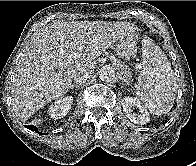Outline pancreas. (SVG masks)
<instances>
[{
	"label": "pancreas",
	"instance_id": "obj_1",
	"mask_svg": "<svg viewBox=\"0 0 196 166\" xmlns=\"http://www.w3.org/2000/svg\"><path fill=\"white\" fill-rule=\"evenodd\" d=\"M120 70L126 78L130 77V75H131L130 68L125 67V66H120Z\"/></svg>",
	"mask_w": 196,
	"mask_h": 166
}]
</instances>
